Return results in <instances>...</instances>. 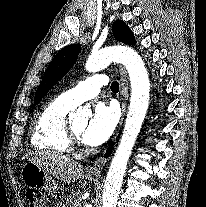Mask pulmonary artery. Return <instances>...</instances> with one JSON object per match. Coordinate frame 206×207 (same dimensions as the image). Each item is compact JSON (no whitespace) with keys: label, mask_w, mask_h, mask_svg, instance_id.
Returning <instances> with one entry per match:
<instances>
[{"label":"pulmonary artery","mask_w":206,"mask_h":207,"mask_svg":"<svg viewBox=\"0 0 206 207\" xmlns=\"http://www.w3.org/2000/svg\"><path fill=\"white\" fill-rule=\"evenodd\" d=\"M108 83V77L98 74L87 78L74 88L64 92L62 96L73 106H78L82 102L96 97L100 93L102 86Z\"/></svg>","instance_id":"e3ab8cb5"}]
</instances>
